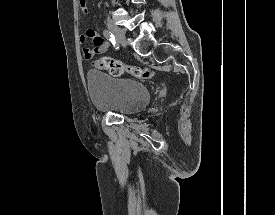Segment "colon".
<instances>
[{
    "label": "colon",
    "instance_id": "colon-1",
    "mask_svg": "<svg viewBox=\"0 0 275 215\" xmlns=\"http://www.w3.org/2000/svg\"><path fill=\"white\" fill-rule=\"evenodd\" d=\"M81 6L85 7L87 0H79ZM94 65L102 70L108 71L113 76H119L126 72L134 78L149 79L152 72L147 68L132 64H124L108 56H101L94 61Z\"/></svg>",
    "mask_w": 275,
    "mask_h": 215
}]
</instances>
